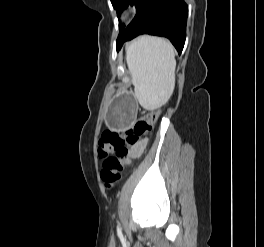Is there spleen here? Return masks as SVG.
Returning a JSON list of instances; mask_svg holds the SVG:
<instances>
[{"instance_id":"3e777b00","label":"spleen","mask_w":264,"mask_h":247,"mask_svg":"<svg viewBox=\"0 0 264 247\" xmlns=\"http://www.w3.org/2000/svg\"><path fill=\"white\" fill-rule=\"evenodd\" d=\"M126 61L139 101L165 104L175 87L176 60L171 43L142 36L128 46Z\"/></svg>"}]
</instances>
